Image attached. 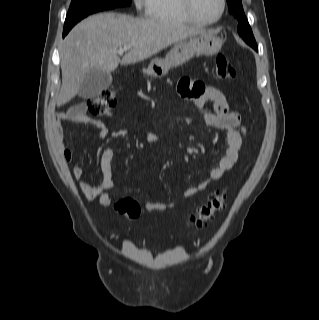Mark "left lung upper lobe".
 Returning <instances> with one entry per match:
<instances>
[{
  "mask_svg": "<svg viewBox=\"0 0 319 320\" xmlns=\"http://www.w3.org/2000/svg\"><path fill=\"white\" fill-rule=\"evenodd\" d=\"M229 12L233 14L239 21L238 33L254 49L257 48L255 38L251 27L245 17L241 0H227Z\"/></svg>",
  "mask_w": 319,
  "mask_h": 320,
  "instance_id": "5c2ea615",
  "label": "left lung upper lobe"
}]
</instances>
